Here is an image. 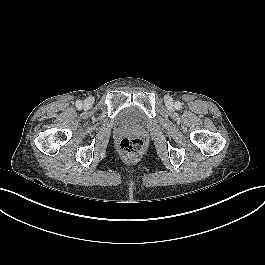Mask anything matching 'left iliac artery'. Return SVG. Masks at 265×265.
<instances>
[{
    "label": "left iliac artery",
    "mask_w": 265,
    "mask_h": 265,
    "mask_svg": "<svg viewBox=\"0 0 265 265\" xmlns=\"http://www.w3.org/2000/svg\"><path fill=\"white\" fill-rule=\"evenodd\" d=\"M175 108H176V109H180V108H181V103H180L179 101H177V102L175 103Z\"/></svg>",
    "instance_id": "left-iliac-artery-1"
}]
</instances>
